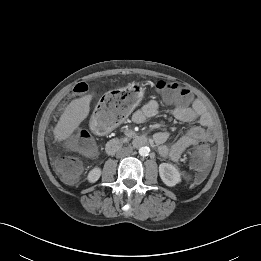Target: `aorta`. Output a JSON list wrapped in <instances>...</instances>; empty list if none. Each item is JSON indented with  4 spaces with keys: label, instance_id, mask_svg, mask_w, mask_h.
I'll use <instances>...</instances> for the list:
<instances>
[{
    "label": "aorta",
    "instance_id": "762f6f07",
    "mask_svg": "<svg viewBox=\"0 0 261 261\" xmlns=\"http://www.w3.org/2000/svg\"><path fill=\"white\" fill-rule=\"evenodd\" d=\"M149 151V147H140L138 152L141 156H147L149 154Z\"/></svg>",
    "mask_w": 261,
    "mask_h": 261
}]
</instances>
